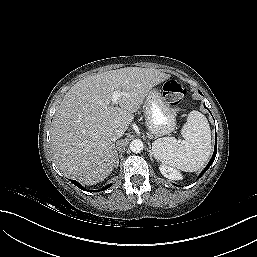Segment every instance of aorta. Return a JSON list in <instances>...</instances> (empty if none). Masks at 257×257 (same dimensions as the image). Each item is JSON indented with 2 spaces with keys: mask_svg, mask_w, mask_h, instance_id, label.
<instances>
[{
  "mask_svg": "<svg viewBox=\"0 0 257 257\" xmlns=\"http://www.w3.org/2000/svg\"><path fill=\"white\" fill-rule=\"evenodd\" d=\"M129 147L132 152L139 153L143 150V142L140 139H135L131 141Z\"/></svg>",
  "mask_w": 257,
  "mask_h": 257,
  "instance_id": "obj_1",
  "label": "aorta"
}]
</instances>
